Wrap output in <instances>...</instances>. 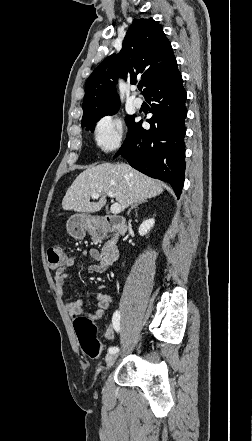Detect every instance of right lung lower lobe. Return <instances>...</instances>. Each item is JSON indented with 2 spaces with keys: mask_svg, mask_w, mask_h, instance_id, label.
<instances>
[{
  "mask_svg": "<svg viewBox=\"0 0 252 441\" xmlns=\"http://www.w3.org/2000/svg\"><path fill=\"white\" fill-rule=\"evenodd\" d=\"M144 97L153 102V116L148 120L151 127L144 130L141 122H134L120 153L133 168L170 183L179 197L184 184L187 110L186 91L176 61Z\"/></svg>",
  "mask_w": 252,
  "mask_h": 441,
  "instance_id": "98d812e1",
  "label": "right lung lower lobe"
}]
</instances>
